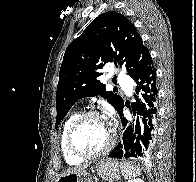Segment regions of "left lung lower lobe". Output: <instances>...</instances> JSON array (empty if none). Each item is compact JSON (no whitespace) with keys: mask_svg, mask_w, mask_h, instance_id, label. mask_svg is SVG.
I'll return each instance as SVG.
<instances>
[{"mask_svg":"<svg viewBox=\"0 0 196 182\" xmlns=\"http://www.w3.org/2000/svg\"><path fill=\"white\" fill-rule=\"evenodd\" d=\"M136 82V102L132 104V112L138 114L135 127L128 126L123 115L124 102L118 114L125 128L123 144L119 143L108 155L112 158L135 157L148 159L154 154L157 131L158 88L156 70L149 58L144 66L133 77ZM138 95V96H137Z\"/></svg>","mask_w":196,"mask_h":182,"instance_id":"1","label":"left lung lower lobe"}]
</instances>
